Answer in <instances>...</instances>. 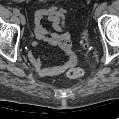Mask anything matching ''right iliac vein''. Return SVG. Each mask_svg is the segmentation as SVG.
<instances>
[{
  "label": "right iliac vein",
  "instance_id": "1",
  "mask_svg": "<svg viewBox=\"0 0 119 119\" xmlns=\"http://www.w3.org/2000/svg\"><path fill=\"white\" fill-rule=\"evenodd\" d=\"M19 19H20V22L24 25L26 22L25 16L23 14H19Z\"/></svg>",
  "mask_w": 119,
  "mask_h": 119
}]
</instances>
